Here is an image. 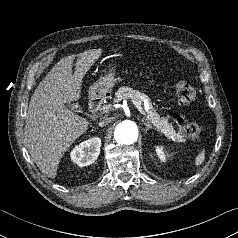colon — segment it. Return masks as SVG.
Masks as SVG:
<instances>
[{
	"label": "colon",
	"instance_id": "1",
	"mask_svg": "<svg viewBox=\"0 0 238 238\" xmlns=\"http://www.w3.org/2000/svg\"><path fill=\"white\" fill-rule=\"evenodd\" d=\"M175 93L177 101L180 105H189L196 98L195 89L185 82H178L176 84ZM177 123L179 125L180 132L184 137L192 140H199L201 138L202 128L198 124L187 122L182 118H178Z\"/></svg>",
	"mask_w": 238,
	"mask_h": 238
}]
</instances>
